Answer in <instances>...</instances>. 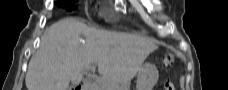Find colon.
I'll return each mask as SVG.
<instances>
[{
    "label": "colon",
    "instance_id": "5ec220e1",
    "mask_svg": "<svg viewBox=\"0 0 228 90\" xmlns=\"http://www.w3.org/2000/svg\"><path fill=\"white\" fill-rule=\"evenodd\" d=\"M162 63L165 67H170L173 63V55L171 53L164 55ZM164 90H175L173 83L171 81H166L164 83Z\"/></svg>",
    "mask_w": 228,
    "mask_h": 90
}]
</instances>
